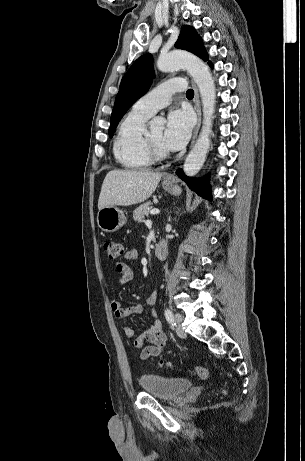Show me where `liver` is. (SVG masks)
Wrapping results in <instances>:
<instances>
[{
    "mask_svg": "<svg viewBox=\"0 0 305 461\" xmlns=\"http://www.w3.org/2000/svg\"><path fill=\"white\" fill-rule=\"evenodd\" d=\"M161 173L148 170H111L103 181L98 209L130 206L147 200L158 186Z\"/></svg>",
    "mask_w": 305,
    "mask_h": 461,
    "instance_id": "obj_1",
    "label": "liver"
}]
</instances>
